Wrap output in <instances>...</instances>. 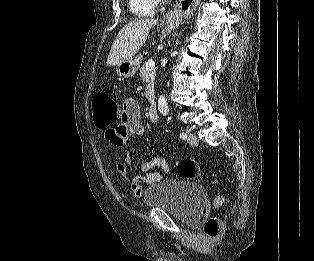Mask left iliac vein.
Listing matches in <instances>:
<instances>
[{
    "instance_id": "left-iliac-vein-1",
    "label": "left iliac vein",
    "mask_w": 314,
    "mask_h": 261,
    "mask_svg": "<svg viewBox=\"0 0 314 261\" xmlns=\"http://www.w3.org/2000/svg\"><path fill=\"white\" fill-rule=\"evenodd\" d=\"M187 142L191 146H197L198 145V139H197L196 135L193 133H188Z\"/></svg>"
}]
</instances>
